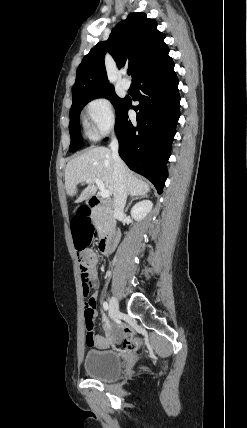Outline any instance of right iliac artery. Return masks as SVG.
Returning <instances> with one entry per match:
<instances>
[{
  "mask_svg": "<svg viewBox=\"0 0 247 428\" xmlns=\"http://www.w3.org/2000/svg\"><path fill=\"white\" fill-rule=\"evenodd\" d=\"M103 308H104V310H105V311H107V310H108V308H109V307H108V303H107V302H104V303H103Z\"/></svg>",
  "mask_w": 247,
  "mask_h": 428,
  "instance_id": "82829eb1",
  "label": "right iliac artery"
}]
</instances>
